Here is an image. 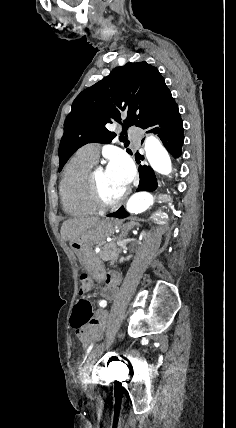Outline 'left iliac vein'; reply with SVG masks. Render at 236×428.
Instances as JSON below:
<instances>
[{
  "instance_id": "4c4485c4",
  "label": "left iliac vein",
  "mask_w": 236,
  "mask_h": 428,
  "mask_svg": "<svg viewBox=\"0 0 236 428\" xmlns=\"http://www.w3.org/2000/svg\"><path fill=\"white\" fill-rule=\"evenodd\" d=\"M117 337L115 335H110L109 338H105V343H113V340H115ZM102 352L99 350L97 353H94V355H91L90 358L87 361L86 366L84 367V370L87 373H90L93 368L95 367V364L97 362V354H101Z\"/></svg>"
}]
</instances>
